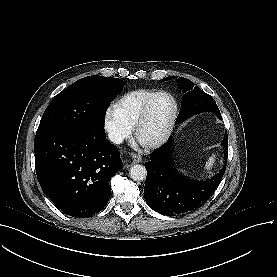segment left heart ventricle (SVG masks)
Returning a JSON list of instances; mask_svg holds the SVG:
<instances>
[{
    "mask_svg": "<svg viewBox=\"0 0 277 277\" xmlns=\"http://www.w3.org/2000/svg\"><path fill=\"white\" fill-rule=\"evenodd\" d=\"M173 111V103L165 96H156L148 109L140 127L139 136L144 141L161 137L166 131Z\"/></svg>",
    "mask_w": 277,
    "mask_h": 277,
    "instance_id": "b2bd125f",
    "label": "left heart ventricle"
}]
</instances>
